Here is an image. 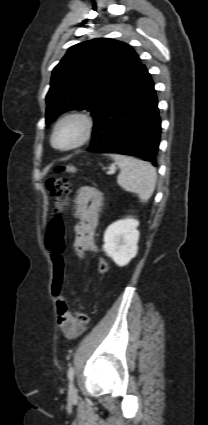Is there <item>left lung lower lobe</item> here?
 Here are the masks:
<instances>
[{
    "instance_id": "obj_1",
    "label": "left lung lower lobe",
    "mask_w": 208,
    "mask_h": 425,
    "mask_svg": "<svg viewBox=\"0 0 208 425\" xmlns=\"http://www.w3.org/2000/svg\"><path fill=\"white\" fill-rule=\"evenodd\" d=\"M160 131L154 83L143 65L95 120L88 150L139 156L156 166Z\"/></svg>"
}]
</instances>
